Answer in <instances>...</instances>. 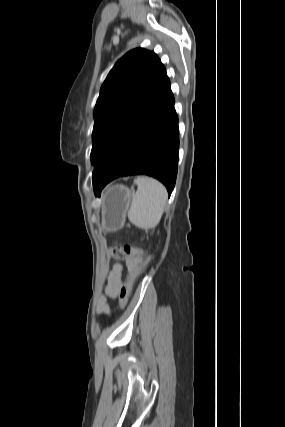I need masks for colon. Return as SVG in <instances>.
Returning a JSON list of instances; mask_svg holds the SVG:
<instances>
[{
    "label": "colon",
    "mask_w": 285,
    "mask_h": 427,
    "mask_svg": "<svg viewBox=\"0 0 285 427\" xmlns=\"http://www.w3.org/2000/svg\"><path fill=\"white\" fill-rule=\"evenodd\" d=\"M110 255L115 260H123L126 262L140 260L138 263L128 265L127 279L119 288V306L120 308H124L127 304L132 285L141 273L143 267L148 263L149 258L143 249L130 245H113L110 247Z\"/></svg>",
    "instance_id": "5ec220e1"
}]
</instances>
